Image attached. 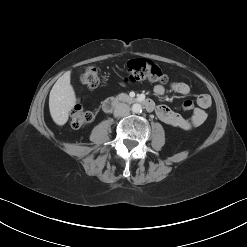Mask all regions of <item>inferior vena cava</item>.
I'll list each match as a JSON object with an SVG mask.
<instances>
[{
  "label": "inferior vena cava",
  "mask_w": 247,
  "mask_h": 247,
  "mask_svg": "<svg viewBox=\"0 0 247 247\" xmlns=\"http://www.w3.org/2000/svg\"><path fill=\"white\" fill-rule=\"evenodd\" d=\"M130 112V107L125 103H119L114 110L115 117L127 116Z\"/></svg>",
  "instance_id": "1"
}]
</instances>
